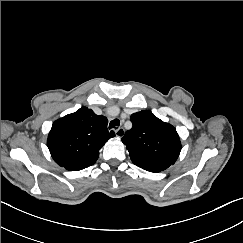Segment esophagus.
Returning a JSON list of instances; mask_svg holds the SVG:
<instances>
[{
	"label": "esophagus",
	"mask_w": 243,
	"mask_h": 243,
	"mask_svg": "<svg viewBox=\"0 0 243 243\" xmlns=\"http://www.w3.org/2000/svg\"><path fill=\"white\" fill-rule=\"evenodd\" d=\"M115 134L118 138H122L125 135V130L122 127L115 129Z\"/></svg>",
	"instance_id": "34e87169"
}]
</instances>
